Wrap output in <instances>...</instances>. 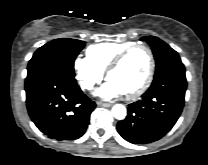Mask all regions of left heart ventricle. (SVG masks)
<instances>
[{
    "instance_id": "obj_1",
    "label": "left heart ventricle",
    "mask_w": 208,
    "mask_h": 165,
    "mask_svg": "<svg viewBox=\"0 0 208 165\" xmlns=\"http://www.w3.org/2000/svg\"><path fill=\"white\" fill-rule=\"evenodd\" d=\"M148 68V53L143 48H137L124 59L119 67L109 74L108 79L118 87L122 94H126L142 84Z\"/></svg>"
}]
</instances>
